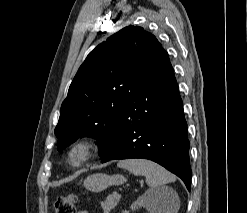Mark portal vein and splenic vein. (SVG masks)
I'll return each instance as SVG.
<instances>
[{
	"label": "portal vein and splenic vein",
	"instance_id": "obj_1",
	"mask_svg": "<svg viewBox=\"0 0 247 213\" xmlns=\"http://www.w3.org/2000/svg\"><path fill=\"white\" fill-rule=\"evenodd\" d=\"M115 195H116V196H118V197H120V196H121V194H120V193H116Z\"/></svg>",
	"mask_w": 247,
	"mask_h": 213
}]
</instances>
